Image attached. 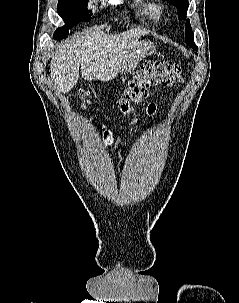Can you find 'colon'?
Here are the masks:
<instances>
[{
    "instance_id": "5ec220e1",
    "label": "colon",
    "mask_w": 239,
    "mask_h": 303,
    "mask_svg": "<svg viewBox=\"0 0 239 303\" xmlns=\"http://www.w3.org/2000/svg\"><path fill=\"white\" fill-rule=\"evenodd\" d=\"M182 78V66L178 62L157 61L144 63L129 81L126 89L119 98L118 107L124 113H130L133 107L139 104L148 94L151 87L155 85L173 86L180 83ZM90 94L82 90L78 97L88 104Z\"/></svg>"
}]
</instances>
